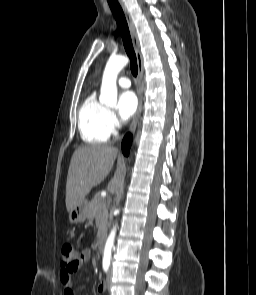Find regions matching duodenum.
Masks as SVG:
<instances>
[{"label":"duodenum","instance_id":"duodenum-1","mask_svg":"<svg viewBox=\"0 0 256 295\" xmlns=\"http://www.w3.org/2000/svg\"><path fill=\"white\" fill-rule=\"evenodd\" d=\"M104 243H105V238L103 235H101L97 243V247L100 253H103L104 251Z\"/></svg>","mask_w":256,"mask_h":295}]
</instances>
